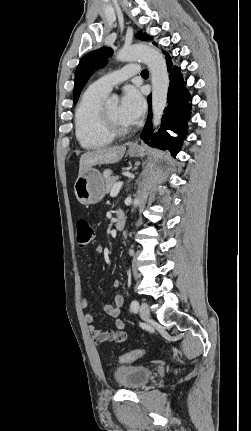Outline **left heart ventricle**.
Wrapping results in <instances>:
<instances>
[{
    "mask_svg": "<svg viewBox=\"0 0 251 431\" xmlns=\"http://www.w3.org/2000/svg\"><path fill=\"white\" fill-rule=\"evenodd\" d=\"M106 111L110 115V117L119 125L121 126H129L130 124L127 123V121L123 118L120 106L117 102H113L110 104H107L105 106Z\"/></svg>",
    "mask_w": 251,
    "mask_h": 431,
    "instance_id": "obj_1",
    "label": "left heart ventricle"
}]
</instances>
